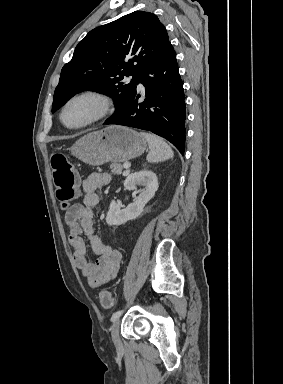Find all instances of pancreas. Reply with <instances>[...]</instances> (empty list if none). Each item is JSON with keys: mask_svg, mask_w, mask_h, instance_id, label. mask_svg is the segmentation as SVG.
Wrapping results in <instances>:
<instances>
[{"mask_svg": "<svg viewBox=\"0 0 283 384\" xmlns=\"http://www.w3.org/2000/svg\"><path fill=\"white\" fill-rule=\"evenodd\" d=\"M112 174H122L123 166L121 164H110Z\"/></svg>", "mask_w": 283, "mask_h": 384, "instance_id": "pancreas-1", "label": "pancreas"}]
</instances>
